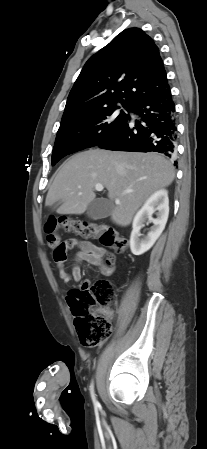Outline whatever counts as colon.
I'll list each match as a JSON object with an SVG mask.
<instances>
[{
    "label": "colon",
    "mask_w": 207,
    "mask_h": 449,
    "mask_svg": "<svg viewBox=\"0 0 207 449\" xmlns=\"http://www.w3.org/2000/svg\"><path fill=\"white\" fill-rule=\"evenodd\" d=\"M61 229L79 235L82 238H95L118 252L128 248V240L117 235L110 227L70 219L50 220L44 225V233L49 247L53 250L56 263L67 259L69 240L61 242L57 231ZM112 286L108 281L94 284L84 282L67 295V302L74 317V324L80 341L85 346H96L111 334V324L104 316V309L111 302Z\"/></svg>",
    "instance_id": "obj_1"
}]
</instances>
